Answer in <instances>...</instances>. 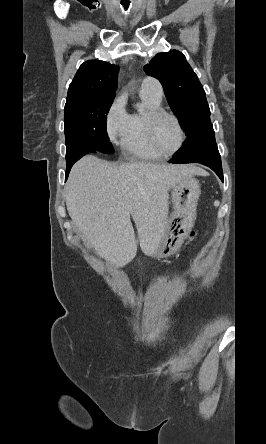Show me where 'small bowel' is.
<instances>
[{
    "label": "small bowel",
    "instance_id": "obj_1",
    "mask_svg": "<svg viewBox=\"0 0 266 444\" xmlns=\"http://www.w3.org/2000/svg\"><path fill=\"white\" fill-rule=\"evenodd\" d=\"M193 236H194V234H193V233H191V235H190V237H189L188 241H191V239L193 238Z\"/></svg>",
    "mask_w": 266,
    "mask_h": 444
}]
</instances>
